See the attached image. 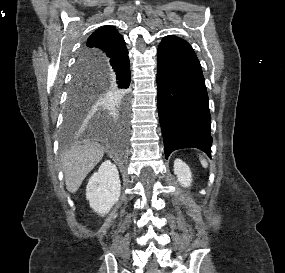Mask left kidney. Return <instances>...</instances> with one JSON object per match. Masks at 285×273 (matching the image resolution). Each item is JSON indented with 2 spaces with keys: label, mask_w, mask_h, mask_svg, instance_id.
<instances>
[{
  "label": "left kidney",
  "mask_w": 285,
  "mask_h": 273,
  "mask_svg": "<svg viewBox=\"0 0 285 273\" xmlns=\"http://www.w3.org/2000/svg\"><path fill=\"white\" fill-rule=\"evenodd\" d=\"M174 173L177 175V179L183 187L191 186L192 174L189 166L185 162L176 159L174 162Z\"/></svg>",
  "instance_id": "5707ae66"
}]
</instances>
